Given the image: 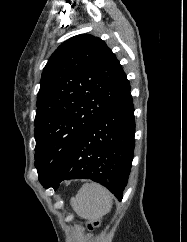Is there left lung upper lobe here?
Masks as SVG:
<instances>
[{
	"label": "left lung upper lobe",
	"instance_id": "5c2ea615",
	"mask_svg": "<svg viewBox=\"0 0 187 242\" xmlns=\"http://www.w3.org/2000/svg\"><path fill=\"white\" fill-rule=\"evenodd\" d=\"M35 117V166L39 176L55 170L89 126L129 91L111 49L88 34L62 43L40 81Z\"/></svg>",
	"mask_w": 187,
	"mask_h": 242
}]
</instances>
